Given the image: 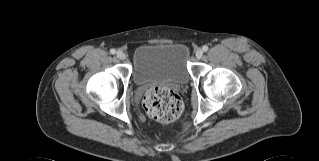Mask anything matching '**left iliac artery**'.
I'll list each match as a JSON object with an SVG mask.
<instances>
[{"mask_svg":"<svg viewBox=\"0 0 319 161\" xmlns=\"http://www.w3.org/2000/svg\"><path fill=\"white\" fill-rule=\"evenodd\" d=\"M202 49H203V51L206 52V51H208L209 48H208V46L205 45V46L202 47Z\"/></svg>","mask_w":319,"mask_h":161,"instance_id":"1","label":"left iliac artery"}]
</instances>
